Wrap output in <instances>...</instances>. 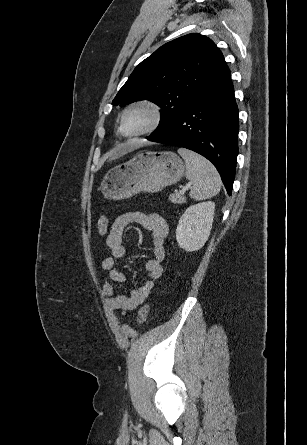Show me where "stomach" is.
<instances>
[{
    "mask_svg": "<svg viewBox=\"0 0 307 445\" xmlns=\"http://www.w3.org/2000/svg\"><path fill=\"white\" fill-rule=\"evenodd\" d=\"M185 164L175 152L140 150L131 160L113 166L100 186L105 198L120 200L137 192H158L184 176Z\"/></svg>",
    "mask_w": 307,
    "mask_h": 445,
    "instance_id": "0dacf381",
    "label": "stomach"
}]
</instances>
